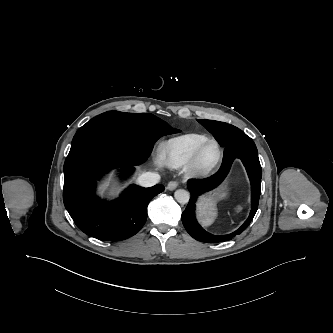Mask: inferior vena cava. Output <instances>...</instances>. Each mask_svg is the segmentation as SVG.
<instances>
[{"label":"inferior vena cava","instance_id":"obj_1","mask_svg":"<svg viewBox=\"0 0 333 333\" xmlns=\"http://www.w3.org/2000/svg\"><path fill=\"white\" fill-rule=\"evenodd\" d=\"M159 180L160 175L155 172H145L138 177V183L144 187L154 186Z\"/></svg>","mask_w":333,"mask_h":333}]
</instances>
